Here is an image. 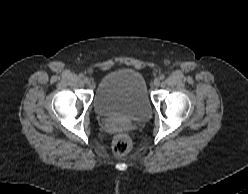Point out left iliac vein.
I'll use <instances>...</instances> for the list:
<instances>
[{
  "mask_svg": "<svg viewBox=\"0 0 248 194\" xmlns=\"http://www.w3.org/2000/svg\"><path fill=\"white\" fill-rule=\"evenodd\" d=\"M153 85L155 87H158L160 85V79L159 78H155L154 81H153Z\"/></svg>",
  "mask_w": 248,
  "mask_h": 194,
  "instance_id": "left-iliac-vein-1",
  "label": "left iliac vein"
}]
</instances>
